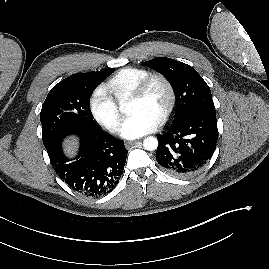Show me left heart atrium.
<instances>
[{"label": "left heart atrium", "mask_w": 269, "mask_h": 269, "mask_svg": "<svg viewBox=\"0 0 269 269\" xmlns=\"http://www.w3.org/2000/svg\"><path fill=\"white\" fill-rule=\"evenodd\" d=\"M157 121L144 113H134L121 125L120 135L126 139H136L155 130Z\"/></svg>", "instance_id": "1"}]
</instances>
